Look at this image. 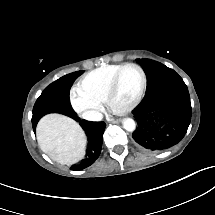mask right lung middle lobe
Here are the masks:
<instances>
[{"mask_svg":"<svg viewBox=\"0 0 215 215\" xmlns=\"http://www.w3.org/2000/svg\"><path fill=\"white\" fill-rule=\"evenodd\" d=\"M82 73L83 71H78L65 75L50 84L37 99L33 108L32 120H38L45 114L52 112L75 117L76 113L71 107L69 92L74 80Z\"/></svg>","mask_w":215,"mask_h":215,"instance_id":"1","label":"right lung middle lobe"}]
</instances>
